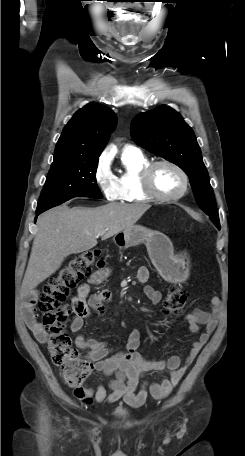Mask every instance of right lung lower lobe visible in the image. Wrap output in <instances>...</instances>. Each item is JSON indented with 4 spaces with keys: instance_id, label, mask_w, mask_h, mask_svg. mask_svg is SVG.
<instances>
[{
    "instance_id": "obj_1",
    "label": "right lung lower lobe",
    "mask_w": 245,
    "mask_h": 456,
    "mask_svg": "<svg viewBox=\"0 0 245 456\" xmlns=\"http://www.w3.org/2000/svg\"><path fill=\"white\" fill-rule=\"evenodd\" d=\"M41 212H36V215H39ZM37 218V217H36Z\"/></svg>"
}]
</instances>
